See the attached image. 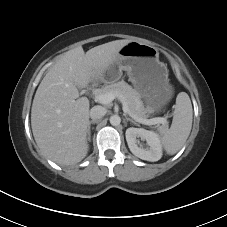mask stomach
Instances as JSON below:
<instances>
[{
	"label": "stomach",
	"mask_w": 227,
	"mask_h": 227,
	"mask_svg": "<svg viewBox=\"0 0 227 227\" xmlns=\"http://www.w3.org/2000/svg\"><path fill=\"white\" fill-rule=\"evenodd\" d=\"M126 71L129 81L144 99L147 108L160 112L173 96V87L169 83V71L166 64L160 62L157 48L130 41L123 46L118 58L104 71L100 80L115 82Z\"/></svg>",
	"instance_id": "0dacf381"
}]
</instances>
